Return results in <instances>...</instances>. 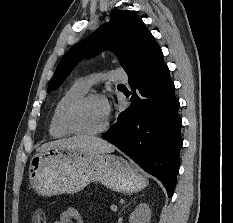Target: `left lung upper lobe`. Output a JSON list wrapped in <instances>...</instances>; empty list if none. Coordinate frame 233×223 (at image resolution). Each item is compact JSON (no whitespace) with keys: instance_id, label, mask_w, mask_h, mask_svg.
<instances>
[{"instance_id":"1","label":"left lung upper lobe","mask_w":233,"mask_h":223,"mask_svg":"<svg viewBox=\"0 0 233 223\" xmlns=\"http://www.w3.org/2000/svg\"><path fill=\"white\" fill-rule=\"evenodd\" d=\"M153 42L154 37L137 15L118 11L111 16L110 22L101 25L63 56L49 83L48 92L61 85L77 62L104 49H110L118 56L128 74L139 64Z\"/></svg>"}]
</instances>
